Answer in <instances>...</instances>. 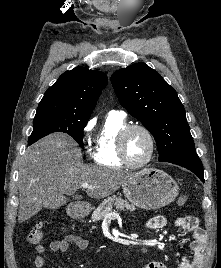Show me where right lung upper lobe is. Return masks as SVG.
<instances>
[{
  "label": "right lung upper lobe",
  "instance_id": "cb5924a9",
  "mask_svg": "<svg viewBox=\"0 0 221 268\" xmlns=\"http://www.w3.org/2000/svg\"><path fill=\"white\" fill-rule=\"evenodd\" d=\"M107 76L97 70L76 67L64 72L46 91L37 111H62L90 117Z\"/></svg>",
  "mask_w": 221,
  "mask_h": 268
}]
</instances>
